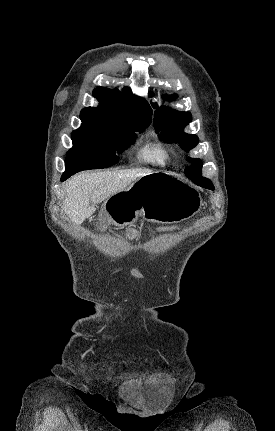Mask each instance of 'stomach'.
<instances>
[{
  "instance_id": "1",
  "label": "stomach",
  "mask_w": 275,
  "mask_h": 431,
  "mask_svg": "<svg viewBox=\"0 0 275 431\" xmlns=\"http://www.w3.org/2000/svg\"><path fill=\"white\" fill-rule=\"evenodd\" d=\"M202 204L199 192L185 181L154 172L108 198L102 206L99 220L117 226H130L141 216L149 222L178 223L198 213Z\"/></svg>"
}]
</instances>
